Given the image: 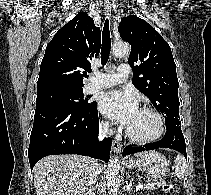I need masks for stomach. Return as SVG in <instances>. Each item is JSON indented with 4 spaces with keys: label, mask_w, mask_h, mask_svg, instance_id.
I'll use <instances>...</instances> for the list:
<instances>
[{
    "label": "stomach",
    "mask_w": 211,
    "mask_h": 195,
    "mask_svg": "<svg viewBox=\"0 0 211 195\" xmlns=\"http://www.w3.org/2000/svg\"><path fill=\"white\" fill-rule=\"evenodd\" d=\"M124 164L129 169L141 170L156 179L166 178L169 172L167 158L157 151L146 152L136 160L129 158Z\"/></svg>",
    "instance_id": "1"
}]
</instances>
